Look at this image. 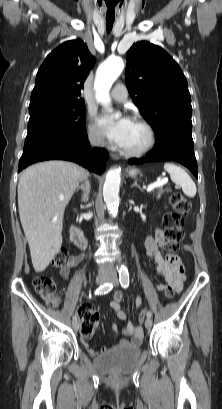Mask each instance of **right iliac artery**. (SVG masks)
<instances>
[{"label":"right iliac artery","instance_id":"right-iliac-artery-1","mask_svg":"<svg viewBox=\"0 0 222 409\" xmlns=\"http://www.w3.org/2000/svg\"><path fill=\"white\" fill-rule=\"evenodd\" d=\"M112 288H113L112 283H105L96 289L95 295L107 294L108 292L112 290ZM73 321H77L76 315L73 316Z\"/></svg>","mask_w":222,"mask_h":409}]
</instances>
